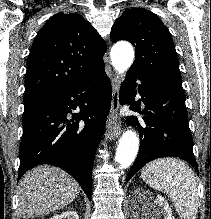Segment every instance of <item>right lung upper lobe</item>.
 <instances>
[{"label": "right lung upper lobe", "instance_id": "obj_1", "mask_svg": "<svg viewBox=\"0 0 211 219\" xmlns=\"http://www.w3.org/2000/svg\"><path fill=\"white\" fill-rule=\"evenodd\" d=\"M106 44L80 14L52 16L27 60L24 107L45 101L104 68Z\"/></svg>", "mask_w": 211, "mask_h": 219}]
</instances>
